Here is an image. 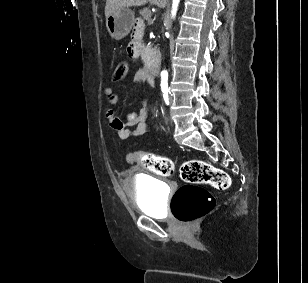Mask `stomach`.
<instances>
[{
	"instance_id": "obj_1",
	"label": "stomach",
	"mask_w": 308,
	"mask_h": 283,
	"mask_svg": "<svg viewBox=\"0 0 308 283\" xmlns=\"http://www.w3.org/2000/svg\"><path fill=\"white\" fill-rule=\"evenodd\" d=\"M133 24L134 12L127 7L118 8L106 17V28L114 40H121L126 37Z\"/></svg>"
}]
</instances>
